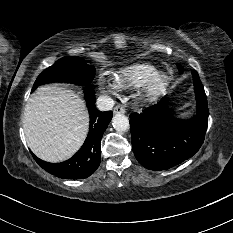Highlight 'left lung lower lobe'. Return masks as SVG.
<instances>
[{"mask_svg":"<svg viewBox=\"0 0 233 233\" xmlns=\"http://www.w3.org/2000/svg\"><path fill=\"white\" fill-rule=\"evenodd\" d=\"M196 116L189 121L176 120L168 110L166 98L142 113L130 115L132 147L142 166L154 171L166 170L191 158L201 147L208 126L207 98L193 71Z\"/></svg>","mask_w":233,"mask_h":233,"instance_id":"obj_1","label":"left lung lower lobe"}]
</instances>
